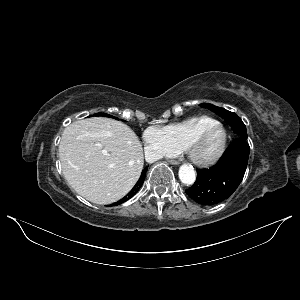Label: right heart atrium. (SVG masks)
Wrapping results in <instances>:
<instances>
[{
  "label": "right heart atrium",
  "instance_id": "1",
  "mask_svg": "<svg viewBox=\"0 0 300 300\" xmlns=\"http://www.w3.org/2000/svg\"><path fill=\"white\" fill-rule=\"evenodd\" d=\"M143 140L146 154L151 160L170 157L178 152L160 127L151 126L147 128L143 133Z\"/></svg>",
  "mask_w": 300,
  "mask_h": 300
}]
</instances>
